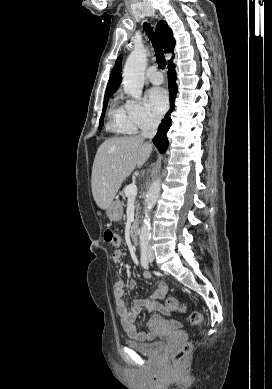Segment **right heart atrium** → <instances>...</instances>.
Masks as SVG:
<instances>
[{
    "mask_svg": "<svg viewBox=\"0 0 272 389\" xmlns=\"http://www.w3.org/2000/svg\"><path fill=\"white\" fill-rule=\"evenodd\" d=\"M124 106L135 130H147L157 126V117L143 103L127 100Z\"/></svg>",
    "mask_w": 272,
    "mask_h": 389,
    "instance_id": "1",
    "label": "right heart atrium"
}]
</instances>
